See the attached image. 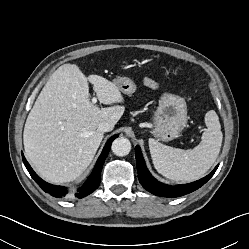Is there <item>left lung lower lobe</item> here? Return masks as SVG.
Wrapping results in <instances>:
<instances>
[{
    "label": "left lung lower lobe",
    "instance_id": "obj_1",
    "mask_svg": "<svg viewBox=\"0 0 249 249\" xmlns=\"http://www.w3.org/2000/svg\"><path fill=\"white\" fill-rule=\"evenodd\" d=\"M135 155H136L138 178L141 185L147 191L162 197H179L197 190L213 176V174L218 168L217 165L209 175L198 181L184 185L170 186L158 182L154 177L151 176L150 172L146 167L144 158L142 156L140 147L138 145L135 148Z\"/></svg>",
    "mask_w": 249,
    "mask_h": 249
}]
</instances>
